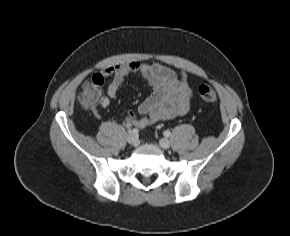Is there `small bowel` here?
<instances>
[{
	"mask_svg": "<svg viewBox=\"0 0 290 236\" xmlns=\"http://www.w3.org/2000/svg\"><path fill=\"white\" fill-rule=\"evenodd\" d=\"M137 74L151 84L153 91L139 105L137 113L127 112L126 126L144 127L184 115L190 110L192 91L185 73L177 72L160 63L140 62L109 66L92 76L93 79L102 80L103 83L106 79H111L105 94L100 95L99 106L108 107L111 101L117 98L125 80Z\"/></svg>",
	"mask_w": 290,
	"mask_h": 236,
	"instance_id": "1",
	"label": "small bowel"
}]
</instances>
